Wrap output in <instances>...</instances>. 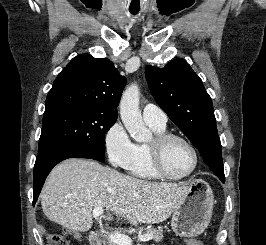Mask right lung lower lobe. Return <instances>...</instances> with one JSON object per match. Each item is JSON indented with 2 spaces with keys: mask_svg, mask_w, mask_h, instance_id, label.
Here are the masks:
<instances>
[{
  "mask_svg": "<svg viewBox=\"0 0 266 245\" xmlns=\"http://www.w3.org/2000/svg\"><path fill=\"white\" fill-rule=\"evenodd\" d=\"M68 158H89L102 161L90 152L65 147L51 149L39 154L34 166L33 206L38 199L44 181L49 172L56 164Z\"/></svg>",
  "mask_w": 266,
  "mask_h": 245,
  "instance_id": "1",
  "label": "right lung lower lobe"
}]
</instances>
